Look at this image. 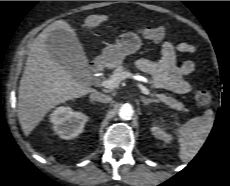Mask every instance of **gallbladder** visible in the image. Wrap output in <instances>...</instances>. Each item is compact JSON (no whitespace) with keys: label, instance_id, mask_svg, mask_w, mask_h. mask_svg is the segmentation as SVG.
Listing matches in <instances>:
<instances>
[{"label":"gallbladder","instance_id":"gallbladder-1","mask_svg":"<svg viewBox=\"0 0 230 186\" xmlns=\"http://www.w3.org/2000/svg\"><path fill=\"white\" fill-rule=\"evenodd\" d=\"M47 49L52 57L76 79L83 82L88 75V61L85 52L75 36L57 29L47 38Z\"/></svg>","mask_w":230,"mask_h":186}]
</instances>
